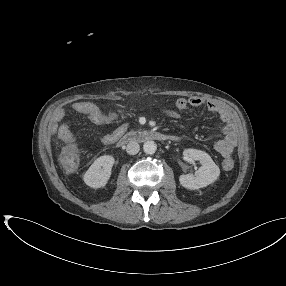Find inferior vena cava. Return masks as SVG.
<instances>
[{
    "label": "inferior vena cava",
    "instance_id": "1",
    "mask_svg": "<svg viewBox=\"0 0 286 286\" xmlns=\"http://www.w3.org/2000/svg\"><path fill=\"white\" fill-rule=\"evenodd\" d=\"M140 146L136 141H130L126 146V152L129 155H135L139 152Z\"/></svg>",
    "mask_w": 286,
    "mask_h": 286
}]
</instances>
